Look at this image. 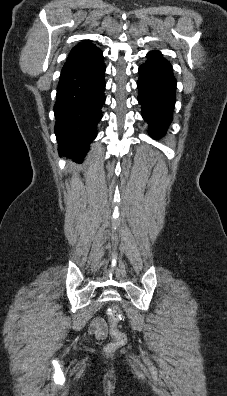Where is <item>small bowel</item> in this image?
<instances>
[{"instance_id":"small-bowel-1","label":"small bowel","mask_w":227,"mask_h":396,"mask_svg":"<svg viewBox=\"0 0 227 396\" xmlns=\"http://www.w3.org/2000/svg\"><path fill=\"white\" fill-rule=\"evenodd\" d=\"M107 330L108 328L105 320L102 318H95L88 328V333L101 340L106 337Z\"/></svg>"}]
</instances>
